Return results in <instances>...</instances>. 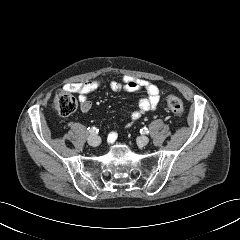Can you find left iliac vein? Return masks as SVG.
<instances>
[{
    "mask_svg": "<svg viewBox=\"0 0 240 240\" xmlns=\"http://www.w3.org/2000/svg\"><path fill=\"white\" fill-rule=\"evenodd\" d=\"M149 142V138L147 136H140L138 137L137 139V143L140 145V146H145L147 145Z\"/></svg>",
    "mask_w": 240,
    "mask_h": 240,
    "instance_id": "left-iliac-vein-1",
    "label": "left iliac vein"
}]
</instances>
